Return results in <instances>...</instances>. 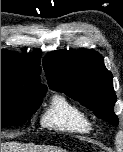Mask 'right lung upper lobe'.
<instances>
[{
	"instance_id": "cb5924a9",
	"label": "right lung upper lobe",
	"mask_w": 123,
	"mask_h": 152,
	"mask_svg": "<svg viewBox=\"0 0 123 152\" xmlns=\"http://www.w3.org/2000/svg\"><path fill=\"white\" fill-rule=\"evenodd\" d=\"M40 55H24L1 50V81L18 85L21 90L47 91L40 82Z\"/></svg>"
}]
</instances>
